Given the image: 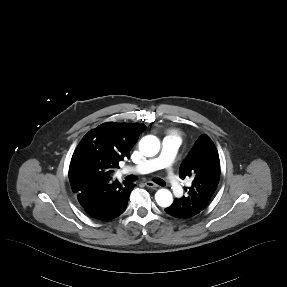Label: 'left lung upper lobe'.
<instances>
[{
    "instance_id": "1",
    "label": "left lung upper lobe",
    "mask_w": 287,
    "mask_h": 287,
    "mask_svg": "<svg viewBox=\"0 0 287 287\" xmlns=\"http://www.w3.org/2000/svg\"><path fill=\"white\" fill-rule=\"evenodd\" d=\"M182 179L191 177L192 186L187 197H182L189 206L203 210L211 200L220 178V160L215 145L206 135H201L180 166Z\"/></svg>"
}]
</instances>
